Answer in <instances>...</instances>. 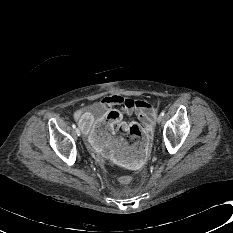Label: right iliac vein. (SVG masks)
I'll use <instances>...</instances> for the list:
<instances>
[{
  "label": "right iliac vein",
  "instance_id": "63e3f726",
  "mask_svg": "<svg viewBox=\"0 0 233 233\" xmlns=\"http://www.w3.org/2000/svg\"><path fill=\"white\" fill-rule=\"evenodd\" d=\"M75 133H76L77 136H80L81 135L80 129L79 128H75Z\"/></svg>",
  "mask_w": 233,
  "mask_h": 233
}]
</instances>
